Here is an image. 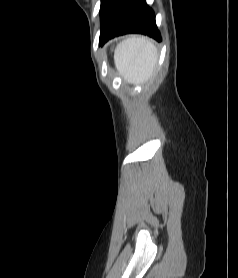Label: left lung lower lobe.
<instances>
[{
	"mask_svg": "<svg viewBox=\"0 0 238 278\" xmlns=\"http://www.w3.org/2000/svg\"><path fill=\"white\" fill-rule=\"evenodd\" d=\"M100 18V45L127 33H141L161 41L154 12L146 0H101Z\"/></svg>",
	"mask_w": 238,
	"mask_h": 278,
	"instance_id": "0a47b994",
	"label": "left lung lower lobe"
}]
</instances>
